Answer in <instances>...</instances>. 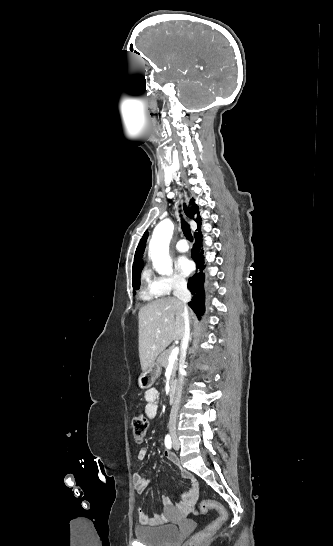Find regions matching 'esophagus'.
Segmentation results:
<instances>
[{
	"instance_id": "1",
	"label": "esophagus",
	"mask_w": 333,
	"mask_h": 546,
	"mask_svg": "<svg viewBox=\"0 0 333 546\" xmlns=\"http://www.w3.org/2000/svg\"><path fill=\"white\" fill-rule=\"evenodd\" d=\"M185 201L188 202V199L186 198Z\"/></svg>"
}]
</instances>
